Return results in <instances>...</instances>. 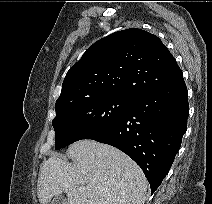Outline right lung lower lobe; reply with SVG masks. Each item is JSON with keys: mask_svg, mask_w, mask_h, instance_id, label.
<instances>
[{"mask_svg": "<svg viewBox=\"0 0 212 204\" xmlns=\"http://www.w3.org/2000/svg\"><path fill=\"white\" fill-rule=\"evenodd\" d=\"M188 94L183 77L131 98L120 121L87 139L114 146L143 170L153 193L167 175L186 131Z\"/></svg>", "mask_w": 212, "mask_h": 204, "instance_id": "98d812e1", "label": "right lung lower lobe"}]
</instances>
